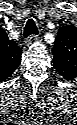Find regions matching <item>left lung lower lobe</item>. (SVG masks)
<instances>
[{"label":"left lung lower lobe","mask_w":77,"mask_h":125,"mask_svg":"<svg viewBox=\"0 0 77 125\" xmlns=\"http://www.w3.org/2000/svg\"><path fill=\"white\" fill-rule=\"evenodd\" d=\"M61 76L69 80L75 76V67H69L66 65H58L54 67Z\"/></svg>","instance_id":"0a47b994"}]
</instances>
